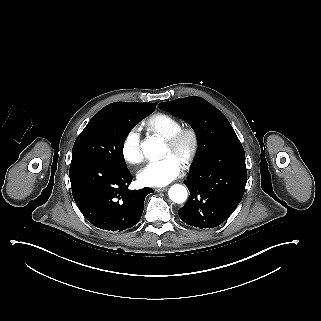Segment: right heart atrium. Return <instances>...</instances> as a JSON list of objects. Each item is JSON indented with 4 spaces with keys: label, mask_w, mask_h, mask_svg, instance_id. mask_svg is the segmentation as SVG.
<instances>
[{
    "label": "right heart atrium",
    "mask_w": 321,
    "mask_h": 321,
    "mask_svg": "<svg viewBox=\"0 0 321 321\" xmlns=\"http://www.w3.org/2000/svg\"><path fill=\"white\" fill-rule=\"evenodd\" d=\"M121 155L128 163H138L143 159L141 130L138 126L130 128L123 136Z\"/></svg>",
    "instance_id": "d8ad5b80"
}]
</instances>
